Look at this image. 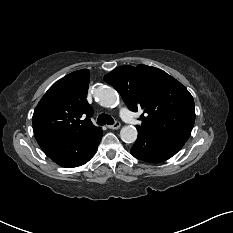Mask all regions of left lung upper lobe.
Segmentation results:
<instances>
[{
  "instance_id": "obj_1",
  "label": "left lung upper lobe",
  "mask_w": 233,
  "mask_h": 233,
  "mask_svg": "<svg viewBox=\"0 0 233 233\" xmlns=\"http://www.w3.org/2000/svg\"><path fill=\"white\" fill-rule=\"evenodd\" d=\"M128 108L142 110L138 131L186 142L195 121L194 100L188 90L161 69L120 66L105 75Z\"/></svg>"
}]
</instances>
